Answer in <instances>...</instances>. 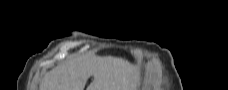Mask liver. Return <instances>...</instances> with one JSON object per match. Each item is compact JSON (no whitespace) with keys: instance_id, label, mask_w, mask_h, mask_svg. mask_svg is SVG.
I'll list each match as a JSON object with an SVG mask.
<instances>
[{"instance_id":"1","label":"liver","mask_w":228,"mask_h":90,"mask_svg":"<svg viewBox=\"0 0 228 90\" xmlns=\"http://www.w3.org/2000/svg\"><path fill=\"white\" fill-rule=\"evenodd\" d=\"M91 75L87 90H128L137 80L133 66L122 58L78 57L47 73L40 90H84Z\"/></svg>"}]
</instances>
